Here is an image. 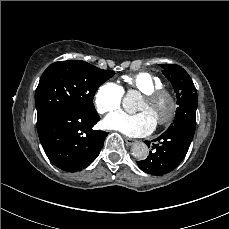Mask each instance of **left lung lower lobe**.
<instances>
[{"mask_svg": "<svg viewBox=\"0 0 229 229\" xmlns=\"http://www.w3.org/2000/svg\"><path fill=\"white\" fill-rule=\"evenodd\" d=\"M194 133L187 127L168 128L161 136L154 141V151H150L149 156L142 161H138L139 168L150 175L160 176L173 171L186 156ZM150 145L149 141H146Z\"/></svg>", "mask_w": 229, "mask_h": 229, "instance_id": "0a47b994", "label": "left lung lower lobe"}]
</instances>
